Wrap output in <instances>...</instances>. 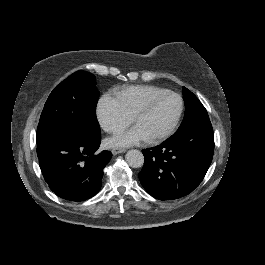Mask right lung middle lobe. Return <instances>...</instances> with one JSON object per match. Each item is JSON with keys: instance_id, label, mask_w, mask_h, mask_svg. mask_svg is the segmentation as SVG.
I'll list each match as a JSON object with an SVG mask.
<instances>
[{"instance_id": "right-lung-middle-lobe-1", "label": "right lung middle lobe", "mask_w": 265, "mask_h": 265, "mask_svg": "<svg viewBox=\"0 0 265 265\" xmlns=\"http://www.w3.org/2000/svg\"><path fill=\"white\" fill-rule=\"evenodd\" d=\"M93 74L77 71L49 95L37 127L36 140L50 133L77 131L100 135L96 118L99 91Z\"/></svg>"}]
</instances>
